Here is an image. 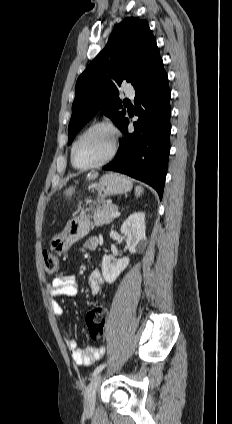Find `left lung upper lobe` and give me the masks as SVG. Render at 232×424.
<instances>
[{
	"mask_svg": "<svg viewBox=\"0 0 232 424\" xmlns=\"http://www.w3.org/2000/svg\"><path fill=\"white\" fill-rule=\"evenodd\" d=\"M161 60L147 21L128 17L118 24L106 47L76 82L68 144L100 109L120 128L126 111L118 87L127 81L136 88Z\"/></svg>",
	"mask_w": 232,
	"mask_h": 424,
	"instance_id": "left-lung-upper-lobe-1",
	"label": "left lung upper lobe"
}]
</instances>
